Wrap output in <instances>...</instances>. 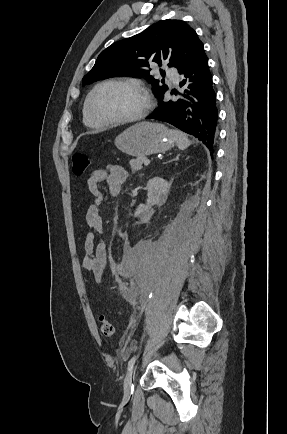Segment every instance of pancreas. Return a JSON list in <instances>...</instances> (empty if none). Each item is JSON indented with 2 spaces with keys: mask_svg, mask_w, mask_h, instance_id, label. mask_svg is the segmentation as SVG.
<instances>
[{
  "mask_svg": "<svg viewBox=\"0 0 287 434\" xmlns=\"http://www.w3.org/2000/svg\"><path fill=\"white\" fill-rule=\"evenodd\" d=\"M144 159L145 158L143 156H140V157H137L136 159L130 160L129 164H130V167H131L133 172H136V171H139L142 169V164L144 162Z\"/></svg>",
  "mask_w": 287,
  "mask_h": 434,
  "instance_id": "pancreas-1",
  "label": "pancreas"
}]
</instances>
